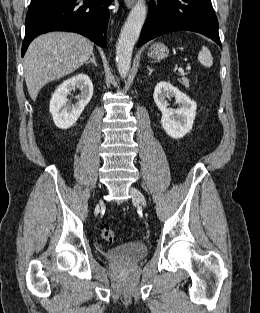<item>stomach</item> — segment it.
Instances as JSON below:
<instances>
[{
	"instance_id": "1",
	"label": "stomach",
	"mask_w": 260,
	"mask_h": 313,
	"mask_svg": "<svg viewBox=\"0 0 260 313\" xmlns=\"http://www.w3.org/2000/svg\"><path fill=\"white\" fill-rule=\"evenodd\" d=\"M169 50L163 43L153 44L148 52V55L154 59L162 60L168 56Z\"/></svg>"
}]
</instances>
